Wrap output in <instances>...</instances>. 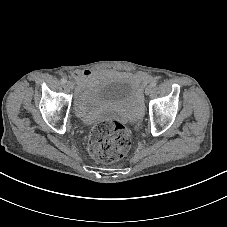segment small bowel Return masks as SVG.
Masks as SVG:
<instances>
[{"label":"small bowel","mask_w":227,"mask_h":227,"mask_svg":"<svg viewBox=\"0 0 227 227\" xmlns=\"http://www.w3.org/2000/svg\"><path fill=\"white\" fill-rule=\"evenodd\" d=\"M116 73L113 71H105L103 73L85 70H76L72 73L73 78L78 82L81 93H84L86 88L90 85L93 79L101 75L114 76ZM135 84L147 83L149 77L146 74L138 73L131 76Z\"/></svg>","instance_id":"1"}]
</instances>
